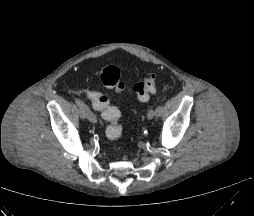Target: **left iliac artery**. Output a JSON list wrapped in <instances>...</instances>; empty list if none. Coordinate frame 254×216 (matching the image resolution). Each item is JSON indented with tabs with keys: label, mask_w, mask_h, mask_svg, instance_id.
Masks as SVG:
<instances>
[{
	"label": "left iliac artery",
	"mask_w": 254,
	"mask_h": 216,
	"mask_svg": "<svg viewBox=\"0 0 254 216\" xmlns=\"http://www.w3.org/2000/svg\"><path fill=\"white\" fill-rule=\"evenodd\" d=\"M164 106L162 103H159L155 108V115L158 117L163 113Z\"/></svg>",
	"instance_id": "obj_1"
}]
</instances>
